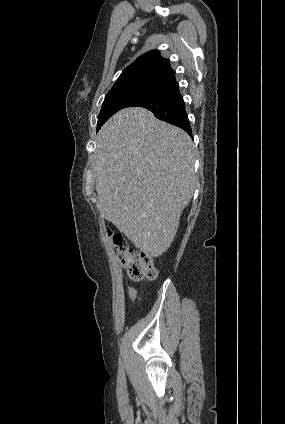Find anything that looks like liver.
<instances>
[{
	"label": "liver",
	"mask_w": 285,
	"mask_h": 424,
	"mask_svg": "<svg viewBox=\"0 0 285 424\" xmlns=\"http://www.w3.org/2000/svg\"><path fill=\"white\" fill-rule=\"evenodd\" d=\"M194 144L140 107L113 115L96 137L98 206L136 248L162 255L195 188Z\"/></svg>",
	"instance_id": "6515ba94"
}]
</instances>
